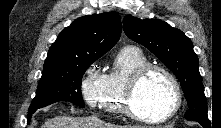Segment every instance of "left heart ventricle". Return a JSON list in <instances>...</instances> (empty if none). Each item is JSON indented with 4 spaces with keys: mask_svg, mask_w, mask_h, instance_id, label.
<instances>
[{
    "mask_svg": "<svg viewBox=\"0 0 221 128\" xmlns=\"http://www.w3.org/2000/svg\"><path fill=\"white\" fill-rule=\"evenodd\" d=\"M173 102V92L167 77L161 72H153L141 83L135 106L148 116L163 114Z\"/></svg>",
    "mask_w": 221,
    "mask_h": 128,
    "instance_id": "b2bd125f",
    "label": "left heart ventricle"
}]
</instances>
